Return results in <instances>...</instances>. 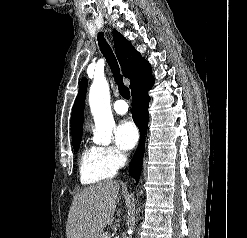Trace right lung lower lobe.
<instances>
[{
  "label": "right lung lower lobe",
  "instance_id": "98d812e1",
  "mask_svg": "<svg viewBox=\"0 0 247 238\" xmlns=\"http://www.w3.org/2000/svg\"><path fill=\"white\" fill-rule=\"evenodd\" d=\"M153 83H154V78L151 77L145 83H143L141 86H139L138 88H136L134 91L131 92L133 98L132 108L134 111L132 116H133V121L140 130L141 142L130 162L129 174L136 179L137 183L142 169L143 156L145 151L144 139H145L148 119H149L148 104L150 101V97L148 95V90L151 89Z\"/></svg>",
  "mask_w": 247,
  "mask_h": 238
}]
</instances>
